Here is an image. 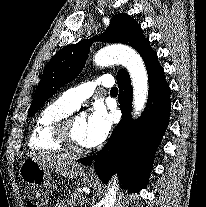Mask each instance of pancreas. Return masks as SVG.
Listing matches in <instances>:
<instances>
[{
    "mask_svg": "<svg viewBox=\"0 0 206 207\" xmlns=\"http://www.w3.org/2000/svg\"><path fill=\"white\" fill-rule=\"evenodd\" d=\"M65 203L64 201L58 202L54 207H77L78 204H80V200H78L76 197L71 196L70 199H68Z\"/></svg>",
    "mask_w": 206,
    "mask_h": 207,
    "instance_id": "pancreas-1",
    "label": "pancreas"
}]
</instances>
